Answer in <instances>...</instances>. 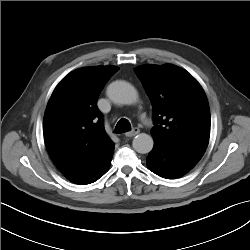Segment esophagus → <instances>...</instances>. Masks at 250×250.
<instances>
[{"mask_svg":"<svg viewBox=\"0 0 250 250\" xmlns=\"http://www.w3.org/2000/svg\"><path fill=\"white\" fill-rule=\"evenodd\" d=\"M140 132L139 128H133L132 131L125 134L126 137H134Z\"/></svg>","mask_w":250,"mask_h":250,"instance_id":"obj_1","label":"esophagus"}]
</instances>
